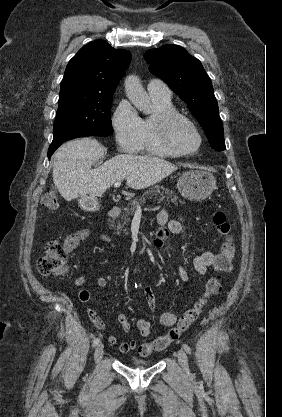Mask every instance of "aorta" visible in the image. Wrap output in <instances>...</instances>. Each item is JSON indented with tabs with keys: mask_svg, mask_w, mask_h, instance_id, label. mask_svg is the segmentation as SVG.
Returning <instances> with one entry per match:
<instances>
[{
	"mask_svg": "<svg viewBox=\"0 0 282 417\" xmlns=\"http://www.w3.org/2000/svg\"><path fill=\"white\" fill-rule=\"evenodd\" d=\"M124 86L127 98H129L130 102H132L138 110H142L145 114L151 112L150 98L143 84H141L139 76L129 74L124 80Z\"/></svg>",
	"mask_w": 282,
	"mask_h": 417,
	"instance_id": "762f6f07",
	"label": "aorta"
}]
</instances>
